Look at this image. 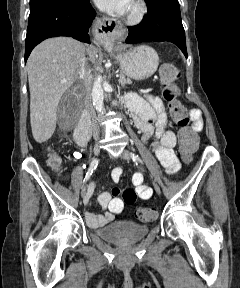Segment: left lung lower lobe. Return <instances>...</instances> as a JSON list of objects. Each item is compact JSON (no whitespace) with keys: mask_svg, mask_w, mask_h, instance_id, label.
Here are the masks:
<instances>
[{"mask_svg":"<svg viewBox=\"0 0 240 288\" xmlns=\"http://www.w3.org/2000/svg\"><path fill=\"white\" fill-rule=\"evenodd\" d=\"M146 4L148 14L140 24L128 27L126 43L170 41L176 44L187 58L185 32L178 0H149Z\"/></svg>","mask_w":240,"mask_h":288,"instance_id":"1","label":"left lung lower lobe"}]
</instances>
